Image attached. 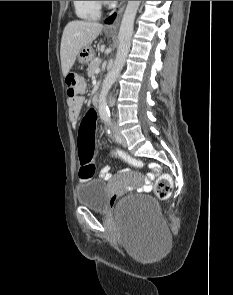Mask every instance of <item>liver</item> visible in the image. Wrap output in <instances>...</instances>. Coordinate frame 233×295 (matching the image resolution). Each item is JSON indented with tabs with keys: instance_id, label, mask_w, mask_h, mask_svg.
Here are the masks:
<instances>
[{
	"instance_id": "6515ba94",
	"label": "liver",
	"mask_w": 233,
	"mask_h": 295,
	"mask_svg": "<svg viewBox=\"0 0 233 295\" xmlns=\"http://www.w3.org/2000/svg\"><path fill=\"white\" fill-rule=\"evenodd\" d=\"M103 29L97 22L74 20L63 31L60 57L63 76H67L80 50L95 40Z\"/></svg>"
}]
</instances>
